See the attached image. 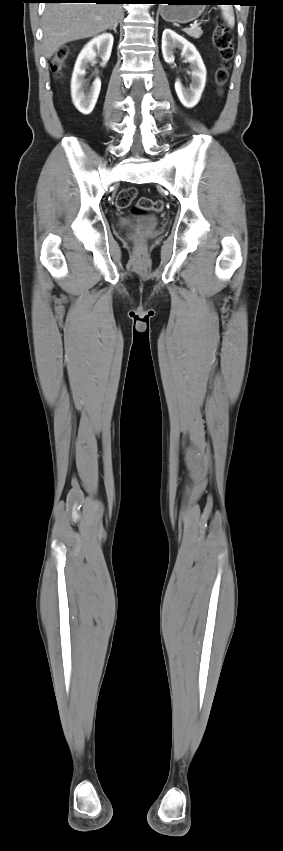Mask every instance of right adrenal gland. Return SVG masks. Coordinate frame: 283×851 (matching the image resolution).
<instances>
[{
  "instance_id": "2a0ac1e0",
  "label": "right adrenal gland",
  "mask_w": 283,
  "mask_h": 851,
  "mask_svg": "<svg viewBox=\"0 0 283 851\" xmlns=\"http://www.w3.org/2000/svg\"><path fill=\"white\" fill-rule=\"evenodd\" d=\"M117 25H118V23H116V24H115L112 28H110L109 30H113L115 33H117V30H116Z\"/></svg>"
}]
</instances>
